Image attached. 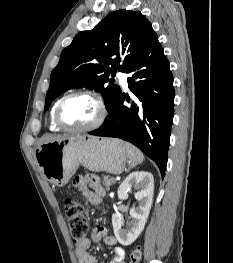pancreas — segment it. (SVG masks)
Returning a JSON list of instances; mask_svg holds the SVG:
<instances>
[{
	"instance_id": "pancreas-1",
	"label": "pancreas",
	"mask_w": 233,
	"mask_h": 263,
	"mask_svg": "<svg viewBox=\"0 0 233 263\" xmlns=\"http://www.w3.org/2000/svg\"><path fill=\"white\" fill-rule=\"evenodd\" d=\"M103 185L109 190L110 186L115 183V180H112V178H109L108 176L103 175Z\"/></svg>"
}]
</instances>
